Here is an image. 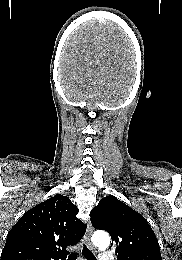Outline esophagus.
<instances>
[{"label": "esophagus", "instance_id": "1", "mask_svg": "<svg viewBox=\"0 0 182 260\" xmlns=\"http://www.w3.org/2000/svg\"><path fill=\"white\" fill-rule=\"evenodd\" d=\"M92 232H93V228H92L91 223L89 222L88 225H87V229H86L85 235H84V241L91 248H92V244H91Z\"/></svg>", "mask_w": 182, "mask_h": 260}]
</instances>
